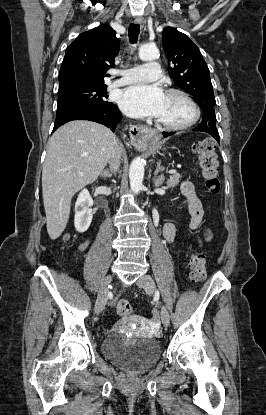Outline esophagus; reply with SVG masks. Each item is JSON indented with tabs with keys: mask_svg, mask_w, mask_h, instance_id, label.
Instances as JSON below:
<instances>
[{
	"mask_svg": "<svg viewBox=\"0 0 266 415\" xmlns=\"http://www.w3.org/2000/svg\"><path fill=\"white\" fill-rule=\"evenodd\" d=\"M134 24H139L144 28L145 22L142 17H136L134 19ZM149 132V129L145 126L136 125L130 128V140L134 146H141L146 142V134Z\"/></svg>",
	"mask_w": 266,
	"mask_h": 415,
	"instance_id": "1",
	"label": "esophagus"
}]
</instances>
